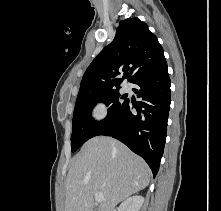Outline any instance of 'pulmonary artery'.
Returning <instances> with one entry per match:
<instances>
[{"instance_id": "obj_1", "label": "pulmonary artery", "mask_w": 221, "mask_h": 211, "mask_svg": "<svg viewBox=\"0 0 221 211\" xmlns=\"http://www.w3.org/2000/svg\"><path fill=\"white\" fill-rule=\"evenodd\" d=\"M123 90H124V91H129V86H128V85H124V86H123Z\"/></svg>"}]
</instances>
